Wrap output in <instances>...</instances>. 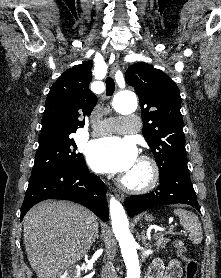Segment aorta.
Returning <instances> with one entry per match:
<instances>
[{"mask_svg":"<svg viewBox=\"0 0 221 278\" xmlns=\"http://www.w3.org/2000/svg\"><path fill=\"white\" fill-rule=\"evenodd\" d=\"M114 109L121 113L132 112L137 107L136 96L132 92L118 93L113 99ZM110 215L112 229L119 241L121 254L127 268L126 278H140V266L137 254V246L134 237L129 230V221L122 204L111 197Z\"/></svg>","mask_w":221,"mask_h":278,"instance_id":"obj_1","label":"aorta"}]
</instances>
